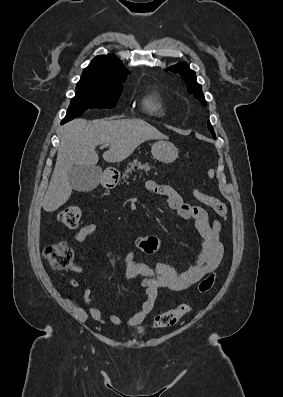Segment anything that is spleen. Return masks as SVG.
Listing matches in <instances>:
<instances>
[{"label": "spleen", "mask_w": 283, "mask_h": 397, "mask_svg": "<svg viewBox=\"0 0 283 397\" xmlns=\"http://www.w3.org/2000/svg\"><path fill=\"white\" fill-rule=\"evenodd\" d=\"M208 176H209L210 178H213V177H214V170H213V169H210V170L208 171Z\"/></svg>", "instance_id": "1"}]
</instances>
